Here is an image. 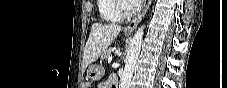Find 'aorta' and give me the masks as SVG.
I'll use <instances>...</instances> for the list:
<instances>
[{
	"instance_id": "762f6f07",
	"label": "aorta",
	"mask_w": 227,
	"mask_h": 88,
	"mask_svg": "<svg viewBox=\"0 0 227 88\" xmlns=\"http://www.w3.org/2000/svg\"><path fill=\"white\" fill-rule=\"evenodd\" d=\"M144 26H141L135 33L130 42L127 56L125 59V68L120 80L119 88H129L133 76L134 68L140 53L143 40Z\"/></svg>"
}]
</instances>
